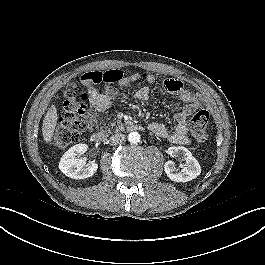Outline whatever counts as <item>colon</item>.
Masks as SVG:
<instances>
[{
    "instance_id": "1",
    "label": "colon",
    "mask_w": 265,
    "mask_h": 265,
    "mask_svg": "<svg viewBox=\"0 0 265 265\" xmlns=\"http://www.w3.org/2000/svg\"><path fill=\"white\" fill-rule=\"evenodd\" d=\"M93 72L89 74L91 82L114 83L117 80L116 73ZM88 99L86 93L80 92L76 84H72L64 93L63 110L57 120L54 134V144L58 148H65L80 140L81 132L86 126L85 102ZM210 115L206 110H198L191 118L190 130L195 140L205 142L208 139Z\"/></svg>"
}]
</instances>
